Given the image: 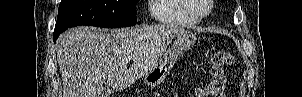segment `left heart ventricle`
I'll return each mask as SVG.
<instances>
[{
    "label": "left heart ventricle",
    "mask_w": 302,
    "mask_h": 97,
    "mask_svg": "<svg viewBox=\"0 0 302 97\" xmlns=\"http://www.w3.org/2000/svg\"><path fill=\"white\" fill-rule=\"evenodd\" d=\"M188 4L193 12L203 14L207 11L206 0H188Z\"/></svg>",
    "instance_id": "left-heart-ventricle-1"
}]
</instances>
